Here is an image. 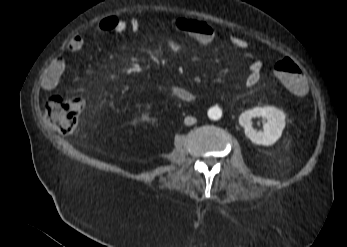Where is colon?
<instances>
[{"instance_id": "colon-1", "label": "colon", "mask_w": 347, "mask_h": 247, "mask_svg": "<svg viewBox=\"0 0 347 247\" xmlns=\"http://www.w3.org/2000/svg\"><path fill=\"white\" fill-rule=\"evenodd\" d=\"M275 77L290 91L297 95L306 93L307 84L299 65L290 58H284L273 67ZM84 102L80 98L65 99L54 95L49 98L45 112L49 123L59 132H73L83 110Z\"/></svg>"}]
</instances>
